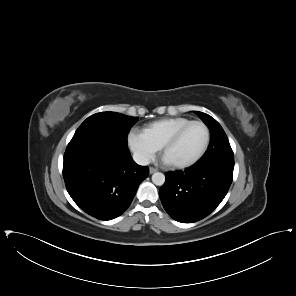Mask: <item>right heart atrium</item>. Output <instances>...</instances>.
<instances>
[{
  "label": "right heart atrium",
  "instance_id": "obj_1",
  "mask_svg": "<svg viewBox=\"0 0 296 296\" xmlns=\"http://www.w3.org/2000/svg\"><path fill=\"white\" fill-rule=\"evenodd\" d=\"M128 144L136 157L143 163L151 161L159 150L143 132L137 129H133L129 133Z\"/></svg>",
  "mask_w": 296,
  "mask_h": 296
}]
</instances>
